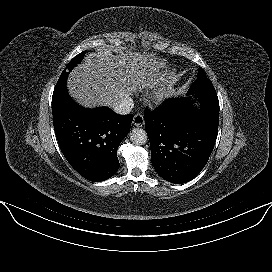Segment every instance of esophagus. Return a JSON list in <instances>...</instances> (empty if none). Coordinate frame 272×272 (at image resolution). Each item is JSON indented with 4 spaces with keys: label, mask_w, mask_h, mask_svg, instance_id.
<instances>
[{
    "label": "esophagus",
    "mask_w": 272,
    "mask_h": 272,
    "mask_svg": "<svg viewBox=\"0 0 272 272\" xmlns=\"http://www.w3.org/2000/svg\"><path fill=\"white\" fill-rule=\"evenodd\" d=\"M133 125L142 127L144 125V117L141 114H136L133 118Z\"/></svg>",
    "instance_id": "34e87169"
}]
</instances>
